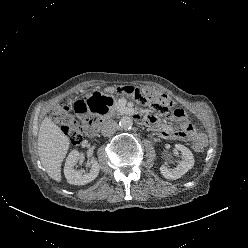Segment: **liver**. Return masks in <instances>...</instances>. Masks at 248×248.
<instances>
[{
	"label": "liver",
	"instance_id": "1",
	"mask_svg": "<svg viewBox=\"0 0 248 248\" xmlns=\"http://www.w3.org/2000/svg\"><path fill=\"white\" fill-rule=\"evenodd\" d=\"M69 138L49 118L41 122L38 134V155L48 175L61 181V164L69 149Z\"/></svg>",
	"mask_w": 248,
	"mask_h": 248
}]
</instances>
